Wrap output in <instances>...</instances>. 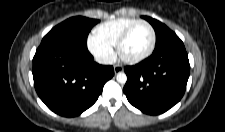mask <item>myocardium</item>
<instances>
[{
  "label": "myocardium",
  "mask_w": 225,
  "mask_h": 132,
  "mask_svg": "<svg viewBox=\"0 0 225 132\" xmlns=\"http://www.w3.org/2000/svg\"><path fill=\"white\" fill-rule=\"evenodd\" d=\"M139 24H145L150 29V32H151L150 45H149L148 49L143 54H141L137 57H133V58L126 57L122 53L123 44L125 43V41L129 37L132 30ZM155 44H156V32H155L154 27L146 20H137V21L133 22L132 24H130L121 33V35L119 36V38L117 40V43H116V49H117L118 55L120 56V58L123 61H125L126 63L135 64V63H139V62L145 60L146 58H148L152 54V52L154 51Z\"/></svg>",
  "instance_id": "f54148a6"
}]
</instances>
